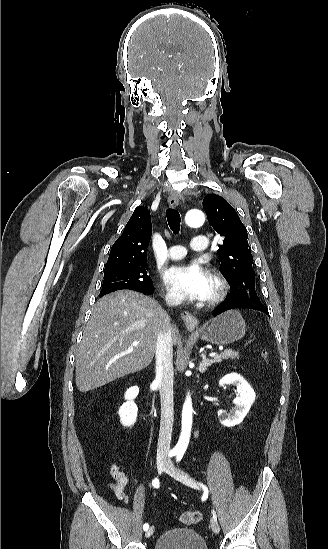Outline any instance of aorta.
Listing matches in <instances>:
<instances>
[{
	"label": "aorta",
	"mask_w": 328,
	"mask_h": 549,
	"mask_svg": "<svg viewBox=\"0 0 328 549\" xmlns=\"http://www.w3.org/2000/svg\"><path fill=\"white\" fill-rule=\"evenodd\" d=\"M204 221H205V216L203 212L200 210L192 209L188 211L185 216V222L189 227H193V228L200 227L203 225ZM192 413H193L192 401H191L190 394L188 393L182 409L181 435L177 445L175 446L176 450L184 452L187 449L189 439H190L191 428H192Z\"/></svg>",
	"instance_id": "obj_1"
}]
</instances>
